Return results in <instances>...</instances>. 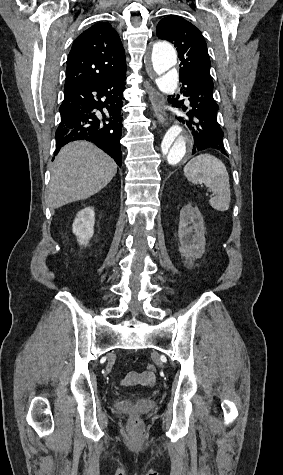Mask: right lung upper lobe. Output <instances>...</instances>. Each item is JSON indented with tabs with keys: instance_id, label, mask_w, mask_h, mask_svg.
Masks as SVG:
<instances>
[{
	"instance_id": "obj_1",
	"label": "right lung upper lobe",
	"mask_w": 283,
	"mask_h": 475,
	"mask_svg": "<svg viewBox=\"0 0 283 475\" xmlns=\"http://www.w3.org/2000/svg\"><path fill=\"white\" fill-rule=\"evenodd\" d=\"M126 73L125 52L109 23H97L74 41L67 60L65 87L99 82Z\"/></svg>"
}]
</instances>
